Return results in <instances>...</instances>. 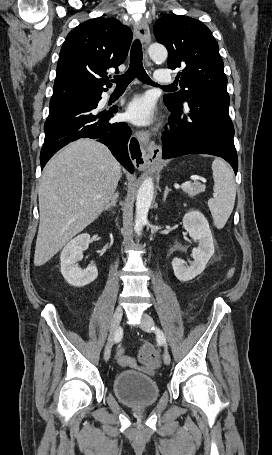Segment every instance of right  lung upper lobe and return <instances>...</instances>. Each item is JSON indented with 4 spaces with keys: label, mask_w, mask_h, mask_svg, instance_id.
Here are the masks:
<instances>
[{
    "label": "right lung upper lobe",
    "mask_w": 272,
    "mask_h": 455,
    "mask_svg": "<svg viewBox=\"0 0 272 455\" xmlns=\"http://www.w3.org/2000/svg\"><path fill=\"white\" fill-rule=\"evenodd\" d=\"M131 40L130 28L115 18L90 19L73 29L59 54L50 103L107 91V70L125 61Z\"/></svg>",
    "instance_id": "obj_1"
}]
</instances>
